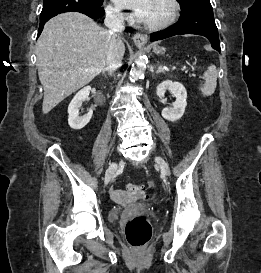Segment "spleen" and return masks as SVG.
I'll list each match as a JSON object with an SVG mask.
<instances>
[{"instance_id": "1", "label": "spleen", "mask_w": 261, "mask_h": 273, "mask_svg": "<svg viewBox=\"0 0 261 273\" xmlns=\"http://www.w3.org/2000/svg\"><path fill=\"white\" fill-rule=\"evenodd\" d=\"M217 69L211 64L203 74L205 82L201 84V91L203 96L212 95L215 92L217 85Z\"/></svg>"}]
</instances>
